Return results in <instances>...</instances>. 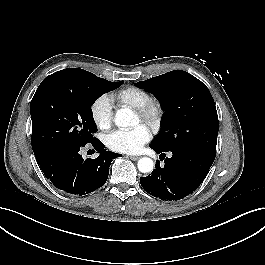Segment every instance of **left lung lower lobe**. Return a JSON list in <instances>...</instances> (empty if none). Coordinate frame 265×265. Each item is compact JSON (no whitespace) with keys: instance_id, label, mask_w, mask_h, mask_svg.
Instances as JSON below:
<instances>
[{"instance_id":"left-lung-lower-lobe-1","label":"left lung lower lobe","mask_w":265,"mask_h":265,"mask_svg":"<svg viewBox=\"0 0 265 265\" xmlns=\"http://www.w3.org/2000/svg\"><path fill=\"white\" fill-rule=\"evenodd\" d=\"M157 154L164 156V167L156 162V169L151 175L141 177L142 187L152 196L163 200H179L193 192L205 179L213 157L195 149L170 150L172 157L165 158V153L151 147Z\"/></svg>"}]
</instances>
